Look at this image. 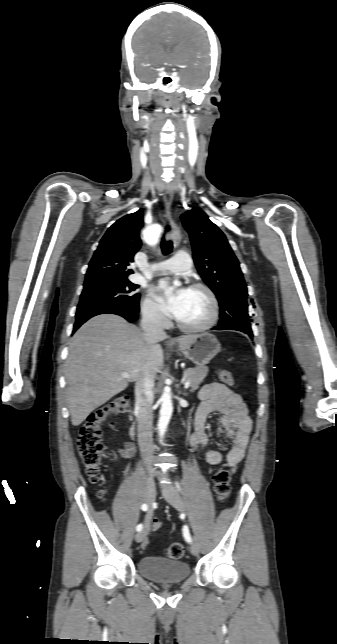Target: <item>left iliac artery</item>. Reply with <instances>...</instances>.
Instances as JSON below:
<instances>
[{"label": "left iliac artery", "mask_w": 337, "mask_h": 644, "mask_svg": "<svg viewBox=\"0 0 337 644\" xmlns=\"http://www.w3.org/2000/svg\"><path fill=\"white\" fill-rule=\"evenodd\" d=\"M177 488L180 490V486H179L178 483H177ZM182 531H183V536H184L185 540L187 542H189V543L192 542V539H191V536H190V533H189V529H188V527L186 525L183 527Z\"/></svg>", "instance_id": "obj_1"}]
</instances>
